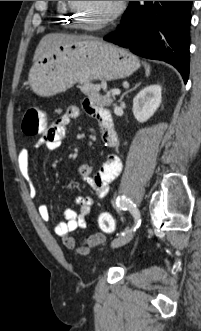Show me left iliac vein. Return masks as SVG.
<instances>
[{"mask_svg":"<svg viewBox=\"0 0 201 331\" xmlns=\"http://www.w3.org/2000/svg\"><path fill=\"white\" fill-rule=\"evenodd\" d=\"M134 233H135L134 230H130L129 232L125 233L124 235H120L119 237L115 238L111 242V246L113 248H117V247H121V246L129 243L132 240Z\"/></svg>","mask_w":201,"mask_h":331,"instance_id":"obj_1","label":"left iliac vein"}]
</instances>
